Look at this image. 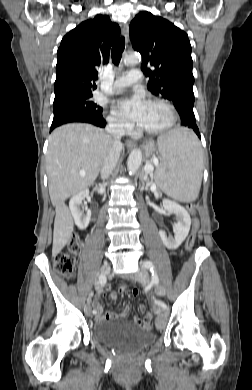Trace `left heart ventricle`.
I'll return each mask as SVG.
<instances>
[{
  "mask_svg": "<svg viewBox=\"0 0 252 390\" xmlns=\"http://www.w3.org/2000/svg\"><path fill=\"white\" fill-rule=\"evenodd\" d=\"M170 120L168 109L158 103L147 104L140 126L152 130L164 127Z\"/></svg>",
  "mask_w": 252,
  "mask_h": 390,
  "instance_id": "b2bd125f",
  "label": "left heart ventricle"
}]
</instances>
